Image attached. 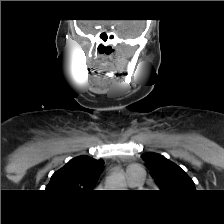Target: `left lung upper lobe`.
I'll return each mask as SVG.
<instances>
[{"mask_svg":"<svg viewBox=\"0 0 224 224\" xmlns=\"http://www.w3.org/2000/svg\"><path fill=\"white\" fill-rule=\"evenodd\" d=\"M142 159L160 190L167 194L195 191L193 180L175 163L153 152L144 153Z\"/></svg>","mask_w":224,"mask_h":224,"instance_id":"1","label":"left lung upper lobe"}]
</instances>
